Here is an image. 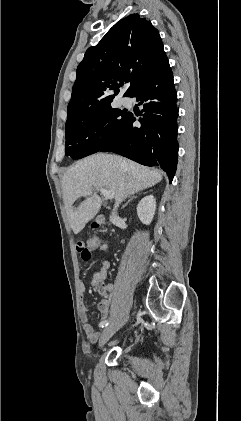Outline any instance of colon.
Returning a JSON list of instances; mask_svg holds the SVG:
<instances>
[{"label":"colon","instance_id":"obj_1","mask_svg":"<svg viewBox=\"0 0 241 421\" xmlns=\"http://www.w3.org/2000/svg\"><path fill=\"white\" fill-rule=\"evenodd\" d=\"M97 227L98 226H96V228ZM98 245L99 240L97 238H91L87 242H78L76 244V250L84 261H88L91 259L92 250L97 248Z\"/></svg>","mask_w":241,"mask_h":421}]
</instances>
